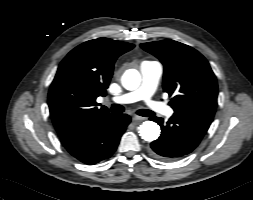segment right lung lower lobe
<instances>
[{
	"instance_id": "98d812e1",
	"label": "right lung lower lobe",
	"mask_w": 253,
	"mask_h": 200,
	"mask_svg": "<svg viewBox=\"0 0 253 200\" xmlns=\"http://www.w3.org/2000/svg\"><path fill=\"white\" fill-rule=\"evenodd\" d=\"M130 121L126 114H111L93 126L62 137L61 142L75 158L94 165L115 152Z\"/></svg>"
}]
</instances>
